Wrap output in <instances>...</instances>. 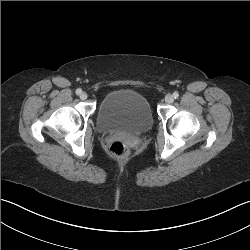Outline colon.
<instances>
[{
    "label": "colon",
    "mask_w": 250,
    "mask_h": 250,
    "mask_svg": "<svg viewBox=\"0 0 250 250\" xmlns=\"http://www.w3.org/2000/svg\"><path fill=\"white\" fill-rule=\"evenodd\" d=\"M110 154L119 160L126 159L129 156L130 149L126 142L121 140L114 141L109 147Z\"/></svg>",
    "instance_id": "5ec220e1"
}]
</instances>
